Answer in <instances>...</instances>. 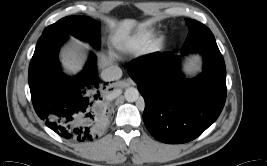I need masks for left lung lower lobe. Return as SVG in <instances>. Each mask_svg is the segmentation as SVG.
<instances>
[{"instance_id":"obj_1","label":"left lung lower lobe","mask_w":267,"mask_h":166,"mask_svg":"<svg viewBox=\"0 0 267 166\" xmlns=\"http://www.w3.org/2000/svg\"><path fill=\"white\" fill-rule=\"evenodd\" d=\"M187 53H200L204 60V72L193 79L184 78L181 59L172 52L142 56L128 66L145 100L146 128L168 144L197 138L215 122L226 100V68L214 36L182 49V55Z\"/></svg>"}]
</instances>
